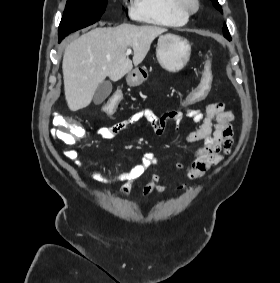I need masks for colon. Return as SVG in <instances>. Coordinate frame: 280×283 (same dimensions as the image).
Listing matches in <instances>:
<instances>
[{
	"mask_svg": "<svg viewBox=\"0 0 280 283\" xmlns=\"http://www.w3.org/2000/svg\"><path fill=\"white\" fill-rule=\"evenodd\" d=\"M209 56L206 60V70L202 73L197 84L191 88L189 94H184L181 99L182 107H176V112H187V108H193V105H198V102H204L208 95H212V78L213 71L209 70ZM123 99V94H110V99H105V116H116L117 104ZM67 118V119H66ZM66 118L59 114H55L54 120L56 123V130L54 132L55 138L61 143L71 146L77 139L83 135L84 129L75 121L68 120L71 118L70 114L66 115Z\"/></svg>",
	"mask_w": 280,
	"mask_h": 283,
	"instance_id": "1",
	"label": "colon"
}]
</instances>
